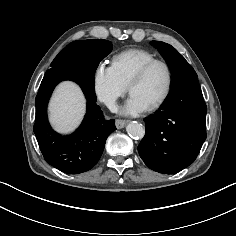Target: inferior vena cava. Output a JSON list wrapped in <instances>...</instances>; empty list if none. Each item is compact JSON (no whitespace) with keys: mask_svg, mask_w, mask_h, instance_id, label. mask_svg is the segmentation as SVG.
I'll return each mask as SVG.
<instances>
[{"mask_svg":"<svg viewBox=\"0 0 236 236\" xmlns=\"http://www.w3.org/2000/svg\"><path fill=\"white\" fill-rule=\"evenodd\" d=\"M107 107L109 108V110L113 113H117L118 111V105L116 104L115 101H109L107 104Z\"/></svg>","mask_w":236,"mask_h":236,"instance_id":"1","label":"inferior vena cava"}]
</instances>
